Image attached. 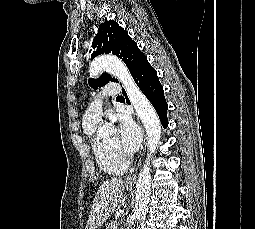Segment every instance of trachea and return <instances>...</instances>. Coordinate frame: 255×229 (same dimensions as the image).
I'll list each match as a JSON object with an SVG mask.
<instances>
[{"label": "trachea", "instance_id": "3493384b", "mask_svg": "<svg viewBox=\"0 0 255 229\" xmlns=\"http://www.w3.org/2000/svg\"><path fill=\"white\" fill-rule=\"evenodd\" d=\"M117 98H123V96L121 95V96H118Z\"/></svg>", "mask_w": 255, "mask_h": 229}]
</instances>
